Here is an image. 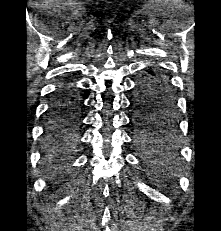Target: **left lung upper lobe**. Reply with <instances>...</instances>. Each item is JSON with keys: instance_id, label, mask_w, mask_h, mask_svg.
Masks as SVG:
<instances>
[{"instance_id": "obj_1", "label": "left lung upper lobe", "mask_w": 221, "mask_h": 231, "mask_svg": "<svg viewBox=\"0 0 221 231\" xmlns=\"http://www.w3.org/2000/svg\"><path fill=\"white\" fill-rule=\"evenodd\" d=\"M153 76L164 85L156 86L152 89L140 88L139 93L134 96V122L140 128L138 141L144 142L151 136L160 133L159 131L169 130V124L175 121L174 118V98L170 95L167 78L159 71H155ZM157 97L161 104L152 107L148 104L150 98Z\"/></svg>"}]
</instances>
